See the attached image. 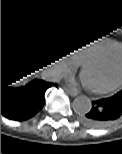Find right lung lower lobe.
Returning <instances> with one entry per match:
<instances>
[{
  "instance_id": "right-lung-lower-lobe-1",
  "label": "right lung lower lobe",
  "mask_w": 122,
  "mask_h": 154,
  "mask_svg": "<svg viewBox=\"0 0 122 154\" xmlns=\"http://www.w3.org/2000/svg\"><path fill=\"white\" fill-rule=\"evenodd\" d=\"M13 84L1 81V114L15 121H24L36 115L44 106L46 90L53 85L38 79L21 86Z\"/></svg>"
}]
</instances>
